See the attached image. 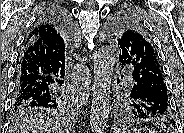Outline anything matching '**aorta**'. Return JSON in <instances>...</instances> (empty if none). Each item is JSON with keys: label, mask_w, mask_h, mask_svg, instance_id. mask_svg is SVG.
Wrapping results in <instances>:
<instances>
[{"label": "aorta", "mask_w": 184, "mask_h": 133, "mask_svg": "<svg viewBox=\"0 0 184 133\" xmlns=\"http://www.w3.org/2000/svg\"><path fill=\"white\" fill-rule=\"evenodd\" d=\"M115 64V53L111 47L102 46L94 55V82L90 111L92 133H103L109 117L110 88Z\"/></svg>", "instance_id": "1"}]
</instances>
